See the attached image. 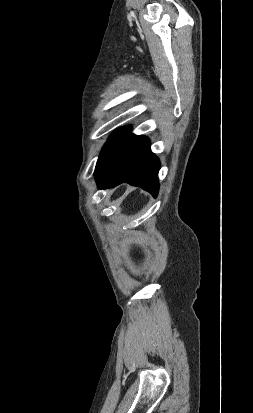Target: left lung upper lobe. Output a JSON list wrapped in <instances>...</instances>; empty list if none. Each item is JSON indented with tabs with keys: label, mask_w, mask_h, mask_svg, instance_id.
Wrapping results in <instances>:
<instances>
[{
	"label": "left lung upper lobe",
	"mask_w": 253,
	"mask_h": 413,
	"mask_svg": "<svg viewBox=\"0 0 253 413\" xmlns=\"http://www.w3.org/2000/svg\"><path fill=\"white\" fill-rule=\"evenodd\" d=\"M129 128H120L113 132L107 143L104 145L102 152L96 164L95 174L102 168V166L108 161V159L115 153V151L121 146V144L130 135Z\"/></svg>",
	"instance_id": "obj_1"
}]
</instances>
